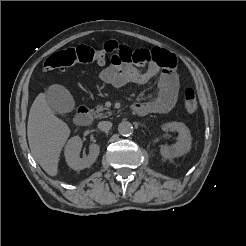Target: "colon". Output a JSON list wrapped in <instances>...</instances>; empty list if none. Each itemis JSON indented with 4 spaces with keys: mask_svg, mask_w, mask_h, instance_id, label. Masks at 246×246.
<instances>
[{
    "mask_svg": "<svg viewBox=\"0 0 246 246\" xmlns=\"http://www.w3.org/2000/svg\"><path fill=\"white\" fill-rule=\"evenodd\" d=\"M106 62L105 52L94 49L86 45H78L50 55L44 61V69L54 70L71 67L80 63H96L103 65ZM198 108V102L195 91L188 88L184 91V109L187 113L192 114Z\"/></svg>",
    "mask_w": 246,
    "mask_h": 246,
    "instance_id": "5ec220e1",
    "label": "colon"
}]
</instances>
